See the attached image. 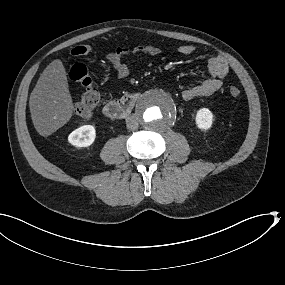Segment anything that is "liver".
Segmentation results:
<instances>
[{"mask_svg": "<svg viewBox=\"0 0 285 285\" xmlns=\"http://www.w3.org/2000/svg\"><path fill=\"white\" fill-rule=\"evenodd\" d=\"M32 123L37 133L48 137L70 121L74 103L67 71L60 58L41 73L29 99Z\"/></svg>", "mask_w": 285, "mask_h": 285, "instance_id": "liver-1", "label": "liver"}]
</instances>
